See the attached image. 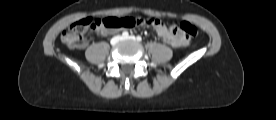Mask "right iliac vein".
<instances>
[{
    "label": "right iliac vein",
    "instance_id": "obj_1",
    "mask_svg": "<svg viewBox=\"0 0 276 120\" xmlns=\"http://www.w3.org/2000/svg\"><path fill=\"white\" fill-rule=\"evenodd\" d=\"M120 40H121V37L116 36V37H114V38L112 39L111 43H112V44H116V43L119 42Z\"/></svg>",
    "mask_w": 276,
    "mask_h": 120
}]
</instances>
